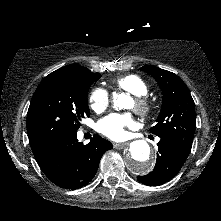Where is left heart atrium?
Masks as SVG:
<instances>
[{
  "label": "left heart atrium",
  "mask_w": 221,
  "mask_h": 221,
  "mask_svg": "<svg viewBox=\"0 0 221 221\" xmlns=\"http://www.w3.org/2000/svg\"><path fill=\"white\" fill-rule=\"evenodd\" d=\"M135 127V121L130 114H110L98 123V130L106 137L121 140L127 135V128Z\"/></svg>",
  "instance_id": "39dd6f15"
}]
</instances>
